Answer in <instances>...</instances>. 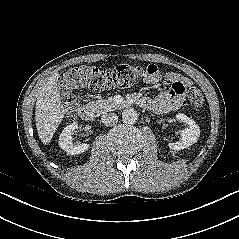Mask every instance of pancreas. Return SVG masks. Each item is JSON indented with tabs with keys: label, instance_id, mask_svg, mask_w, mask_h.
<instances>
[{
	"label": "pancreas",
	"instance_id": "cf45deb5",
	"mask_svg": "<svg viewBox=\"0 0 239 239\" xmlns=\"http://www.w3.org/2000/svg\"><path fill=\"white\" fill-rule=\"evenodd\" d=\"M98 112L112 111L117 108V104L112 98L108 97L106 99H98L90 103Z\"/></svg>",
	"mask_w": 239,
	"mask_h": 239
}]
</instances>
